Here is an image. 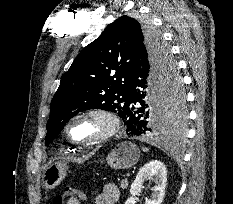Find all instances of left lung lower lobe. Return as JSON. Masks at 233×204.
<instances>
[{"label":"left lung lower lobe","instance_id":"obj_1","mask_svg":"<svg viewBox=\"0 0 233 204\" xmlns=\"http://www.w3.org/2000/svg\"><path fill=\"white\" fill-rule=\"evenodd\" d=\"M178 78H180V75L176 66L170 85L174 84ZM165 94L166 91L163 92L162 90V81L147 60L145 50L140 49L130 70L129 98L123 114L128 135H157L166 134L175 130L182 132L184 120L178 127L164 128ZM153 104L154 106L159 105L161 109L155 111Z\"/></svg>","mask_w":233,"mask_h":204}]
</instances>
